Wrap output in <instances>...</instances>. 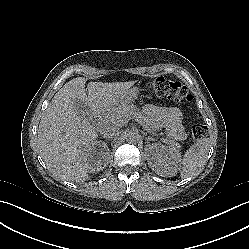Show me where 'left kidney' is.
Masks as SVG:
<instances>
[{"label": "left kidney", "mask_w": 249, "mask_h": 249, "mask_svg": "<svg viewBox=\"0 0 249 249\" xmlns=\"http://www.w3.org/2000/svg\"><path fill=\"white\" fill-rule=\"evenodd\" d=\"M155 157L158 162V167L164 172H168L172 169V163L169 161V157L173 155V151H168L167 147L160 144L154 145Z\"/></svg>", "instance_id": "obj_1"}]
</instances>
